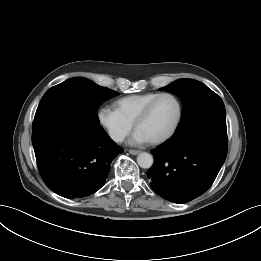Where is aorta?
Returning a JSON list of instances; mask_svg holds the SVG:
<instances>
[{"label": "aorta", "mask_w": 261, "mask_h": 261, "mask_svg": "<svg viewBox=\"0 0 261 261\" xmlns=\"http://www.w3.org/2000/svg\"><path fill=\"white\" fill-rule=\"evenodd\" d=\"M153 162V156L147 152H142L137 156V163L143 169H149Z\"/></svg>", "instance_id": "aorta-1"}]
</instances>
